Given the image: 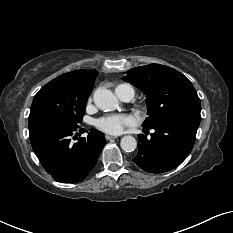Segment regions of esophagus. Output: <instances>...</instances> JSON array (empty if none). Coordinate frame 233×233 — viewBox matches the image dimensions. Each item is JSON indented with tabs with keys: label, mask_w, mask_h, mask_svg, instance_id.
Instances as JSON below:
<instances>
[{
	"label": "esophagus",
	"mask_w": 233,
	"mask_h": 233,
	"mask_svg": "<svg viewBox=\"0 0 233 233\" xmlns=\"http://www.w3.org/2000/svg\"><path fill=\"white\" fill-rule=\"evenodd\" d=\"M105 138H106L107 140H113V139H116L117 137L111 136V135H105Z\"/></svg>",
	"instance_id": "1"
}]
</instances>
